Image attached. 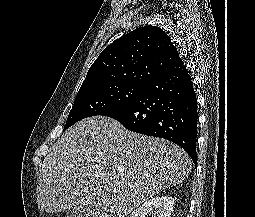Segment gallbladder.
Masks as SVG:
<instances>
[{"label": "gallbladder", "instance_id": "bac80fb5", "mask_svg": "<svg viewBox=\"0 0 255 217\" xmlns=\"http://www.w3.org/2000/svg\"><path fill=\"white\" fill-rule=\"evenodd\" d=\"M67 217H90L85 207H72L66 210Z\"/></svg>", "mask_w": 255, "mask_h": 217}]
</instances>
